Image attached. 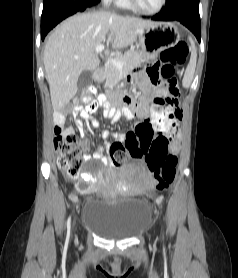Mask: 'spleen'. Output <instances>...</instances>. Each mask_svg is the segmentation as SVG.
<instances>
[{
	"mask_svg": "<svg viewBox=\"0 0 238 278\" xmlns=\"http://www.w3.org/2000/svg\"><path fill=\"white\" fill-rule=\"evenodd\" d=\"M191 43H192L191 57L182 81L183 86L185 88H188L192 83L194 73H195V68H196V61H197V51L194 43L192 41Z\"/></svg>",
	"mask_w": 238,
	"mask_h": 278,
	"instance_id": "spleen-1",
	"label": "spleen"
}]
</instances>
